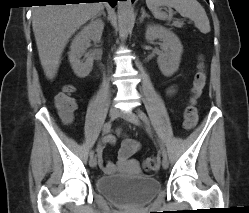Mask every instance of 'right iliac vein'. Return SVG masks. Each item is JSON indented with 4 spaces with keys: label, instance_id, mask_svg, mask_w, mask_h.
Listing matches in <instances>:
<instances>
[{
    "label": "right iliac vein",
    "instance_id": "63e3f726",
    "mask_svg": "<svg viewBox=\"0 0 249 213\" xmlns=\"http://www.w3.org/2000/svg\"><path fill=\"white\" fill-rule=\"evenodd\" d=\"M119 115V110L116 107H111L109 110V117L111 120H115ZM97 161L95 157H91L89 160L90 167L94 168L96 167Z\"/></svg>",
    "mask_w": 249,
    "mask_h": 213
}]
</instances>
